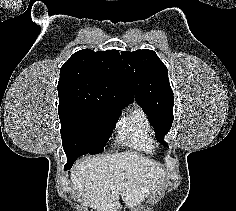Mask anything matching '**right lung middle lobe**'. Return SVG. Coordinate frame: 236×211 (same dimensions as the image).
Returning a JSON list of instances; mask_svg holds the SVG:
<instances>
[{
    "label": "right lung middle lobe",
    "instance_id": "obj_1",
    "mask_svg": "<svg viewBox=\"0 0 236 211\" xmlns=\"http://www.w3.org/2000/svg\"><path fill=\"white\" fill-rule=\"evenodd\" d=\"M67 158L103 152L121 109L68 107L58 109Z\"/></svg>",
    "mask_w": 236,
    "mask_h": 211
}]
</instances>
